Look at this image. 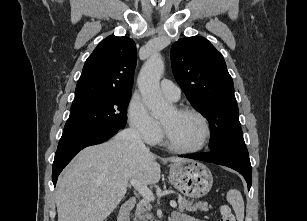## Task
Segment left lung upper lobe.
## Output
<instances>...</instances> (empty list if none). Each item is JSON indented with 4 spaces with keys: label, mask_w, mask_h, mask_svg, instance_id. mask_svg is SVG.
<instances>
[{
    "label": "left lung upper lobe",
    "mask_w": 307,
    "mask_h": 221,
    "mask_svg": "<svg viewBox=\"0 0 307 221\" xmlns=\"http://www.w3.org/2000/svg\"><path fill=\"white\" fill-rule=\"evenodd\" d=\"M173 74L191 105L209 121L211 151L249 158L234 84L222 54L204 37H185L171 47Z\"/></svg>",
    "instance_id": "obj_1"
}]
</instances>
